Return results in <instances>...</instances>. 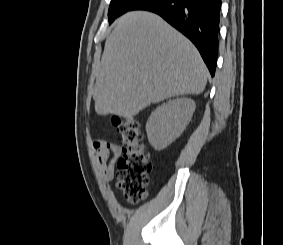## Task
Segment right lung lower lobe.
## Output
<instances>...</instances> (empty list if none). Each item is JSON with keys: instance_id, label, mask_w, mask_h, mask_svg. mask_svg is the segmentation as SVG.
<instances>
[{"instance_id": "98d812e1", "label": "right lung lower lobe", "mask_w": 283, "mask_h": 245, "mask_svg": "<svg viewBox=\"0 0 283 245\" xmlns=\"http://www.w3.org/2000/svg\"><path fill=\"white\" fill-rule=\"evenodd\" d=\"M221 0H142L131 10H147L164 18L198 48L215 74Z\"/></svg>"}]
</instances>
